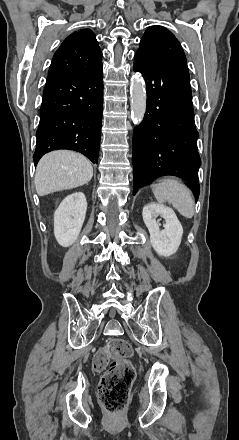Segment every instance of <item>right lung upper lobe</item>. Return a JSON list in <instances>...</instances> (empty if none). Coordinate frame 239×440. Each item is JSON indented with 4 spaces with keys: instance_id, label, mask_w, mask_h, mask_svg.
Instances as JSON below:
<instances>
[{
    "instance_id": "obj_1",
    "label": "right lung upper lobe",
    "mask_w": 239,
    "mask_h": 440,
    "mask_svg": "<svg viewBox=\"0 0 239 440\" xmlns=\"http://www.w3.org/2000/svg\"><path fill=\"white\" fill-rule=\"evenodd\" d=\"M101 59L95 34L90 29H82L63 41L53 56L48 75L92 73L102 67Z\"/></svg>"
}]
</instances>
